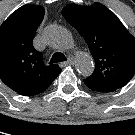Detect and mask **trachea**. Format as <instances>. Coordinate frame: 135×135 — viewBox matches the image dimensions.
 <instances>
[{
  "instance_id": "3493384b",
  "label": "trachea",
  "mask_w": 135,
  "mask_h": 135,
  "mask_svg": "<svg viewBox=\"0 0 135 135\" xmlns=\"http://www.w3.org/2000/svg\"><path fill=\"white\" fill-rule=\"evenodd\" d=\"M66 60H67V58L65 57V55L63 53L57 52L50 59V63H58V62L66 61Z\"/></svg>"
}]
</instances>
